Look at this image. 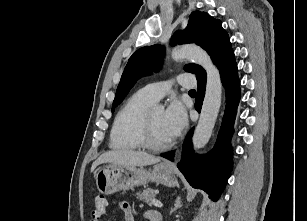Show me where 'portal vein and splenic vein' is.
Here are the masks:
<instances>
[{
  "instance_id": "obj_1",
  "label": "portal vein and splenic vein",
  "mask_w": 307,
  "mask_h": 221,
  "mask_svg": "<svg viewBox=\"0 0 307 221\" xmlns=\"http://www.w3.org/2000/svg\"><path fill=\"white\" fill-rule=\"evenodd\" d=\"M152 204L156 207H159L161 208L163 206V204L159 201V200H156V199H152L151 200Z\"/></svg>"
}]
</instances>
